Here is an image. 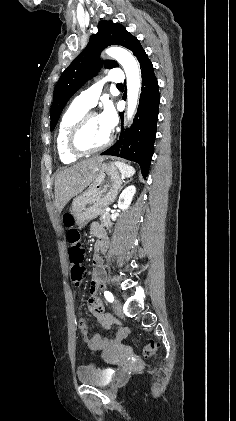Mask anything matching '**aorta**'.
Returning <instances> with one entry per match:
<instances>
[{"label":"aorta","instance_id":"762f6f07","mask_svg":"<svg viewBox=\"0 0 236 421\" xmlns=\"http://www.w3.org/2000/svg\"><path fill=\"white\" fill-rule=\"evenodd\" d=\"M105 52L112 58H116L125 70L127 80V120H131L133 114H135L141 86V72L138 62L131 52H128L125 48H120V46H111V48H106Z\"/></svg>","mask_w":236,"mask_h":421}]
</instances>
